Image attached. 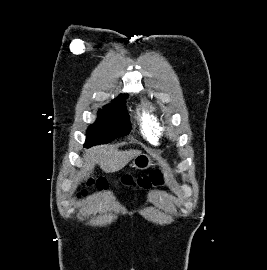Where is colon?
Returning a JSON list of instances; mask_svg holds the SVG:
<instances>
[{
    "mask_svg": "<svg viewBox=\"0 0 267 270\" xmlns=\"http://www.w3.org/2000/svg\"><path fill=\"white\" fill-rule=\"evenodd\" d=\"M122 182L126 185H137L144 189H149L154 186H159L163 182L162 174L158 171L152 172L151 174L134 180L130 176H124ZM87 187H94L98 190H104L108 187V183L105 179H90L86 182ZM87 194V190L84 188L80 191L79 195L84 196Z\"/></svg>",
    "mask_w": 267,
    "mask_h": 270,
    "instance_id": "colon-1",
    "label": "colon"
}]
</instances>
